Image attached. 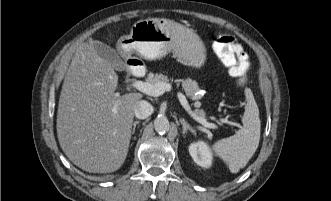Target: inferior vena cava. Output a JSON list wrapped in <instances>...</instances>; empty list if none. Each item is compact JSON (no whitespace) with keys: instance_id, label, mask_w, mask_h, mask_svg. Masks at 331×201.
Masks as SVG:
<instances>
[{"instance_id":"602c4592","label":"inferior vena cava","mask_w":331,"mask_h":201,"mask_svg":"<svg viewBox=\"0 0 331 201\" xmlns=\"http://www.w3.org/2000/svg\"><path fill=\"white\" fill-rule=\"evenodd\" d=\"M153 111V106L145 100L138 101L134 108V114L138 119L149 117Z\"/></svg>"}]
</instances>
